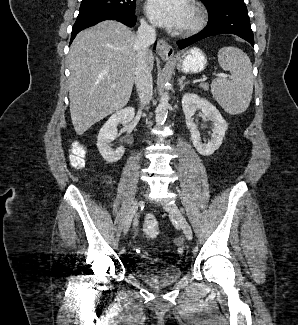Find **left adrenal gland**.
Here are the masks:
<instances>
[{
	"label": "left adrenal gland",
	"mask_w": 298,
	"mask_h": 325,
	"mask_svg": "<svg viewBox=\"0 0 298 325\" xmlns=\"http://www.w3.org/2000/svg\"><path fill=\"white\" fill-rule=\"evenodd\" d=\"M186 84H188V82H183V80H181V78H179V90H183L184 86H186Z\"/></svg>",
	"instance_id": "obj_1"
}]
</instances>
